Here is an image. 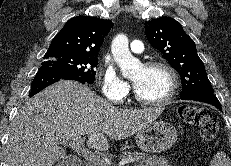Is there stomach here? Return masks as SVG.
I'll use <instances>...</instances> for the list:
<instances>
[{
    "label": "stomach",
    "mask_w": 231,
    "mask_h": 166,
    "mask_svg": "<svg viewBox=\"0 0 231 166\" xmlns=\"http://www.w3.org/2000/svg\"><path fill=\"white\" fill-rule=\"evenodd\" d=\"M175 127L165 121H154L136 133V143L149 153H161L170 149L177 141Z\"/></svg>",
    "instance_id": "1"
}]
</instances>
